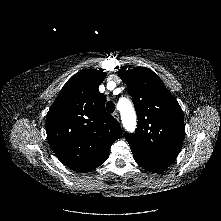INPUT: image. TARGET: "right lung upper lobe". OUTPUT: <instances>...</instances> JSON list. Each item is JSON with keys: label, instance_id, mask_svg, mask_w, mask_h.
<instances>
[{"label": "right lung upper lobe", "instance_id": "1", "mask_svg": "<svg viewBox=\"0 0 221 221\" xmlns=\"http://www.w3.org/2000/svg\"><path fill=\"white\" fill-rule=\"evenodd\" d=\"M105 77L101 70L78 72L63 86L46 116L53 152L78 172L101 165L122 133L118 121L104 110L106 97L98 86Z\"/></svg>", "mask_w": 221, "mask_h": 221}]
</instances>
